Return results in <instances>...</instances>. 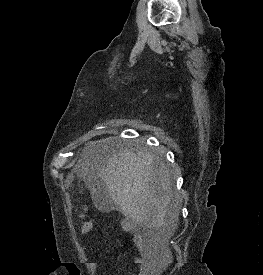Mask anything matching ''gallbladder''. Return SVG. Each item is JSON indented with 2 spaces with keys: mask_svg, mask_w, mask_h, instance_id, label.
Segmentation results:
<instances>
[{
  "mask_svg": "<svg viewBox=\"0 0 263 275\" xmlns=\"http://www.w3.org/2000/svg\"><path fill=\"white\" fill-rule=\"evenodd\" d=\"M92 201L94 206L103 213H109L116 208L114 200L104 186L93 192Z\"/></svg>",
  "mask_w": 263,
  "mask_h": 275,
  "instance_id": "obj_1",
  "label": "gallbladder"
}]
</instances>
